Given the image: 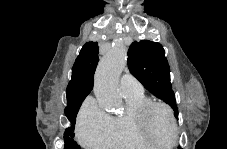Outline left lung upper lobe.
<instances>
[{"label":"left lung upper lobe","mask_w":227,"mask_h":149,"mask_svg":"<svg viewBox=\"0 0 227 149\" xmlns=\"http://www.w3.org/2000/svg\"><path fill=\"white\" fill-rule=\"evenodd\" d=\"M128 67L132 75L148 91L169 104L178 117L169 64L162 45L149 40L133 42L128 51Z\"/></svg>","instance_id":"obj_1"}]
</instances>
